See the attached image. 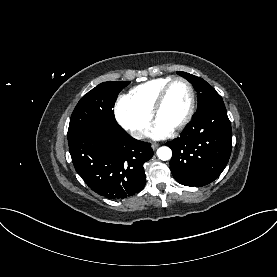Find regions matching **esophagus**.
<instances>
[{"label": "esophagus", "mask_w": 277, "mask_h": 277, "mask_svg": "<svg viewBox=\"0 0 277 277\" xmlns=\"http://www.w3.org/2000/svg\"><path fill=\"white\" fill-rule=\"evenodd\" d=\"M151 147H152L153 150H156L159 147V144L158 143H153L151 145Z\"/></svg>", "instance_id": "esophagus-1"}]
</instances>
